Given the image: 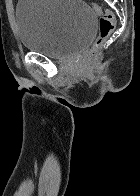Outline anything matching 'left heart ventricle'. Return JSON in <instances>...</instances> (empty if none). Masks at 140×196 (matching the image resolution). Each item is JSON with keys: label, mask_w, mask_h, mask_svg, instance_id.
I'll return each mask as SVG.
<instances>
[{"label": "left heart ventricle", "mask_w": 140, "mask_h": 196, "mask_svg": "<svg viewBox=\"0 0 140 196\" xmlns=\"http://www.w3.org/2000/svg\"><path fill=\"white\" fill-rule=\"evenodd\" d=\"M45 192H53V191H45Z\"/></svg>", "instance_id": "1"}]
</instances>
